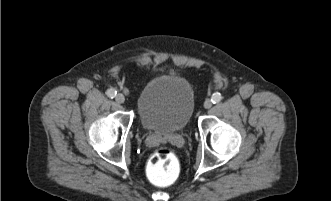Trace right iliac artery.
<instances>
[{"instance_id": "right-iliac-artery-1", "label": "right iliac artery", "mask_w": 331, "mask_h": 201, "mask_svg": "<svg viewBox=\"0 0 331 201\" xmlns=\"http://www.w3.org/2000/svg\"><path fill=\"white\" fill-rule=\"evenodd\" d=\"M117 91L113 88H110L106 91V94L110 98H114L116 96Z\"/></svg>"}]
</instances>
